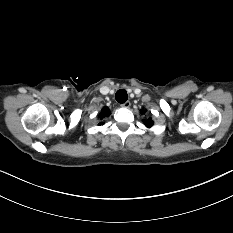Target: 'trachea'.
Wrapping results in <instances>:
<instances>
[{"mask_svg": "<svg viewBox=\"0 0 233 233\" xmlns=\"http://www.w3.org/2000/svg\"><path fill=\"white\" fill-rule=\"evenodd\" d=\"M115 99L117 100V102L119 103H124L127 101L128 99V95H127V92L126 90L124 89H120L116 92L115 94Z\"/></svg>", "mask_w": 233, "mask_h": 233, "instance_id": "trachea-1", "label": "trachea"}]
</instances>
